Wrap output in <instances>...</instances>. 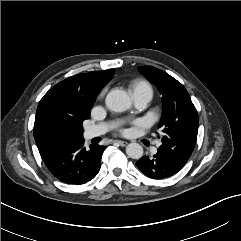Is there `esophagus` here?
Listing matches in <instances>:
<instances>
[{
    "mask_svg": "<svg viewBox=\"0 0 241 241\" xmlns=\"http://www.w3.org/2000/svg\"><path fill=\"white\" fill-rule=\"evenodd\" d=\"M116 142L120 145V146H126L128 144V142L126 141H121V140H116Z\"/></svg>",
    "mask_w": 241,
    "mask_h": 241,
    "instance_id": "obj_1",
    "label": "esophagus"
}]
</instances>
